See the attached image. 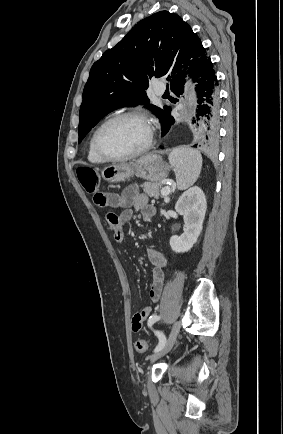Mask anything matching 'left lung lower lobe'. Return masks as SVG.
<instances>
[{
  "instance_id": "left-lung-lower-lobe-1",
  "label": "left lung lower lobe",
  "mask_w": 283,
  "mask_h": 434,
  "mask_svg": "<svg viewBox=\"0 0 283 434\" xmlns=\"http://www.w3.org/2000/svg\"><path fill=\"white\" fill-rule=\"evenodd\" d=\"M196 82L197 108L192 121L194 129V147L213 149L219 140V90L218 81L213 69L211 59L208 58L200 64L191 74ZM184 83L172 86L171 91L180 96L184 92ZM175 123L172 116H167L162 129L165 136Z\"/></svg>"
}]
</instances>
